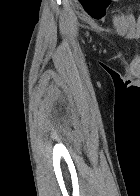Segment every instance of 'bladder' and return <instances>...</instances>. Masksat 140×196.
I'll return each mask as SVG.
<instances>
[{
	"label": "bladder",
	"instance_id": "bladder-1",
	"mask_svg": "<svg viewBox=\"0 0 140 196\" xmlns=\"http://www.w3.org/2000/svg\"><path fill=\"white\" fill-rule=\"evenodd\" d=\"M122 14L124 16H128L132 13H139L140 14V2H134V3H130V4H127L125 6L122 7Z\"/></svg>",
	"mask_w": 140,
	"mask_h": 196
}]
</instances>
